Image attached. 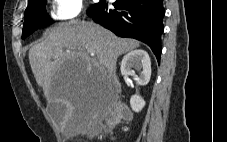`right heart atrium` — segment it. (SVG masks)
Returning a JSON list of instances; mask_svg holds the SVG:
<instances>
[{
    "instance_id": "obj_1",
    "label": "right heart atrium",
    "mask_w": 227,
    "mask_h": 142,
    "mask_svg": "<svg viewBox=\"0 0 227 142\" xmlns=\"http://www.w3.org/2000/svg\"><path fill=\"white\" fill-rule=\"evenodd\" d=\"M84 12L83 0H52L51 16L58 21L80 17Z\"/></svg>"
}]
</instances>
